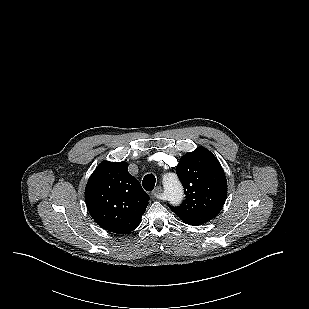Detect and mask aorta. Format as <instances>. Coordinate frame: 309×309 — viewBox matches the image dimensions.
<instances>
[{
	"label": "aorta",
	"instance_id": "aorta-1",
	"mask_svg": "<svg viewBox=\"0 0 309 309\" xmlns=\"http://www.w3.org/2000/svg\"><path fill=\"white\" fill-rule=\"evenodd\" d=\"M163 187L170 203L178 205L183 199V187L176 175L169 174L163 178Z\"/></svg>",
	"mask_w": 309,
	"mask_h": 309
}]
</instances>
